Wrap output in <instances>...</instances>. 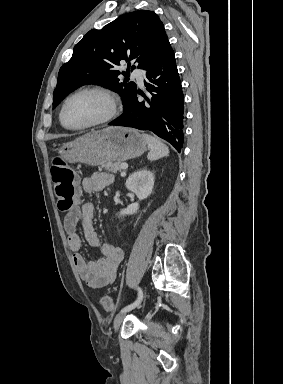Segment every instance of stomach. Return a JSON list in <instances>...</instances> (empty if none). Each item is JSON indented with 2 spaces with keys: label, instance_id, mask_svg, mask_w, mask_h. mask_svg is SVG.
I'll return each instance as SVG.
<instances>
[{
  "label": "stomach",
  "instance_id": "obj_1",
  "mask_svg": "<svg viewBox=\"0 0 283 384\" xmlns=\"http://www.w3.org/2000/svg\"><path fill=\"white\" fill-rule=\"evenodd\" d=\"M145 150L147 142L139 132L133 128L111 126L63 144L58 150V156L69 164L81 162L88 166H102L106 162H125L139 158Z\"/></svg>",
  "mask_w": 283,
  "mask_h": 384
}]
</instances>
